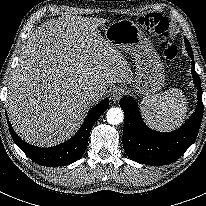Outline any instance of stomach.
<instances>
[{
	"label": "stomach",
	"instance_id": "stomach-1",
	"mask_svg": "<svg viewBox=\"0 0 206 206\" xmlns=\"http://www.w3.org/2000/svg\"><path fill=\"white\" fill-rule=\"evenodd\" d=\"M104 37L118 50L129 53L135 61L130 91L140 96H150L164 86V66L136 23L129 19L114 21L104 29Z\"/></svg>",
	"mask_w": 206,
	"mask_h": 206
}]
</instances>
